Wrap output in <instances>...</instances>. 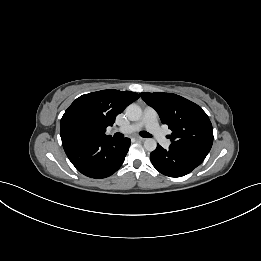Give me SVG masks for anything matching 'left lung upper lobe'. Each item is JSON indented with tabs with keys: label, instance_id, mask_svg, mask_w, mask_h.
<instances>
[{
	"label": "left lung upper lobe",
	"instance_id": "left-lung-upper-lobe-1",
	"mask_svg": "<svg viewBox=\"0 0 261 261\" xmlns=\"http://www.w3.org/2000/svg\"><path fill=\"white\" fill-rule=\"evenodd\" d=\"M140 96L157 111L162 123L172 130L169 136L172 145L210 151L213 128L200 106L173 93L143 92Z\"/></svg>",
	"mask_w": 261,
	"mask_h": 261
}]
</instances>
